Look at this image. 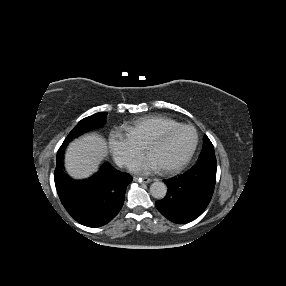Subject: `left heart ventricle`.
<instances>
[{
	"instance_id": "left-heart-ventricle-1",
	"label": "left heart ventricle",
	"mask_w": 286,
	"mask_h": 286,
	"mask_svg": "<svg viewBox=\"0 0 286 286\" xmlns=\"http://www.w3.org/2000/svg\"><path fill=\"white\" fill-rule=\"evenodd\" d=\"M196 135L191 129H183L162 143L152 146L149 153L161 167L183 160L195 144Z\"/></svg>"
}]
</instances>
